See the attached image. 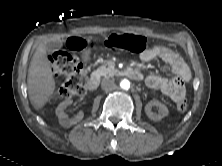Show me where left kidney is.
Returning <instances> with one entry per match:
<instances>
[{"instance_id":"1","label":"left kidney","mask_w":222,"mask_h":166,"mask_svg":"<svg viewBox=\"0 0 222 166\" xmlns=\"http://www.w3.org/2000/svg\"><path fill=\"white\" fill-rule=\"evenodd\" d=\"M153 106L159 107L160 111L158 114L152 112L151 109ZM145 113L151 120L159 121L169 114V110L164 104H162L158 100H152L145 106Z\"/></svg>"}]
</instances>
